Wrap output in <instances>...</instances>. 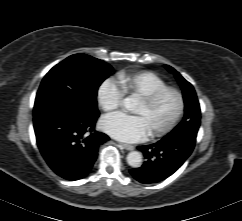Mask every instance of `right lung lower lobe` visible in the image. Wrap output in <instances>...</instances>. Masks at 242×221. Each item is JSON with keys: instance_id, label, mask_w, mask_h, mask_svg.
Here are the masks:
<instances>
[{"instance_id": "98d812e1", "label": "right lung lower lobe", "mask_w": 242, "mask_h": 221, "mask_svg": "<svg viewBox=\"0 0 242 221\" xmlns=\"http://www.w3.org/2000/svg\"><path fill=\"white\" fill-rule=\"evenodd\" d=\"M99 116H80L66 111L46 110L34 114L37 145L50 168L64 179L85 177L93 167L100 145L109 140L95 131Z\"/></svg>"}]
</instances>
